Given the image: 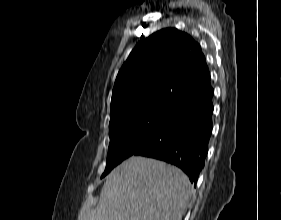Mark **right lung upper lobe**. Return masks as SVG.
<instances>
[{"mask_svg": "<svg viewBox=\"0 0 281 220\" xmlns=\"http://www.w3.org/2000/svg\"><path fill=\"white\" fill-rule=\"evenodd\" d=\"M211 88L200 45L176 28L139 42L117 75L110 122L144 113L170 114L181 102Z\"/></svg>", "mask_w": 281, "mask_h": 220, "instance_id": "obj_1", "label": "right lung upper lobe"}]
</instances>
